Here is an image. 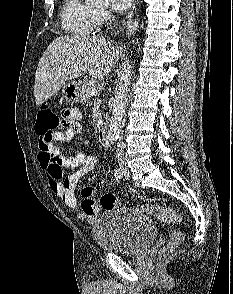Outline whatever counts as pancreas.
Segmentation results:
<instances>
[{
	"label": "pancreas",
	"mask_w": 233,
	"mask_h": 294,
	"mask_svg": "<svg viewBox=\"0 0 233 294\" xmlns=\"http://www.w3.org/2000/svg\"><path fill=\"white\" fill-rule=\"evenodd\" d=\"M94 88V85L90 81H85L81 88V100L88 101L91 95L89 94V90Z\"/></svg>",
	"instance_id": "cf45deb5"
}]
</instances>
